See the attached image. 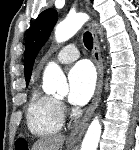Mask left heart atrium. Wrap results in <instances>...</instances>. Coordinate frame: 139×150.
Masks as SVG:
<instances>
[{
  "label": "left heart atrium",
  "instance_id": "left-heart-atrium-1",
  "mask_svg": "<svg viewBox=\"0 0 139 150\" xmlns=\"http://www.w3.org/2000/svg\"><path fill=\"white\" fill-rule=\"evenodd\" d=\"M70 103L82 106L92 97L96 75L93 67L86 61L74 65L68 74Z\"/></svg>",
  "mask_w": 139,
  "mask_h": 150
}]
</instances>
